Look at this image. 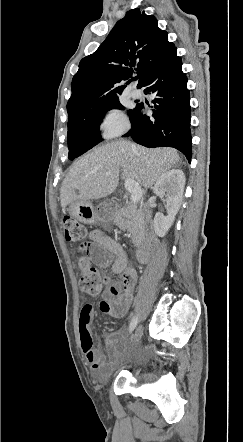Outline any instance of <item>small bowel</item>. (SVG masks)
Returning <instances> with one entry per match:
<instances>
[{
  "label": "small bowel",
  "mask_w": 243,
  "mask_h": 442,
  "mask_svg": "<svg viewBox=\"0 0 243 442\" xmlns=\"http://www.w3.org/2000/svg\"><path fill=\"white\" fill-rule=\"evenodd\" d=\"M89 236L95 244L90 254L91 260L100 267H109L114 274L120 276L118 282L107 277L103 279L106 287L101 292L99 310L110 318H122L128 312L133 299L137 272L129 265L128 257L117 241L100 229L92 230ZM94 313V304L84 303L79 311L78 328L85 360L91 366L95 377L102 379L111 372L113 364L118 359L122 335L113 333L107 337L108 360L101 345H96L93 340L91 324Z\"/></svg>",
  "instance_id": "c3829d8e"
}]
</instances>
